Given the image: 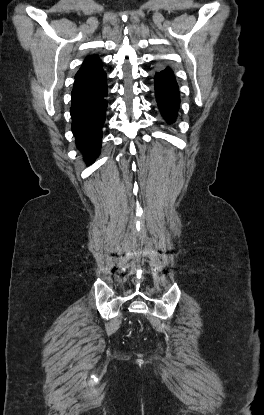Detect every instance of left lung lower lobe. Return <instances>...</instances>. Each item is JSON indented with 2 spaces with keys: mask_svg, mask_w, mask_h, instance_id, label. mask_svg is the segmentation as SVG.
<instances>
[{
  "mask_svg": "<svg viewBox=\"0 0 264 415\" xmlns=\"http://www.w3.org/2000/svg\"><path fill=\"white\" fill-rule=\"evenodd\" d=\"M155 93L164 119L169 123L174 122L180 100L175 77L169 68L155 74Z\"/></svg>",
  "mask_w": 264,
  "mask_h": 415,
  "instance_id": "left-lung-lower-lobe-1",
  "label": "left lung lower lobe"
}]
</instances>
